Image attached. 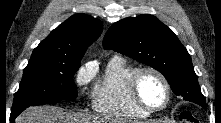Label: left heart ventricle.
Returning <instances> with one entry per match:
<instances>
[{
	"label": "left heart ventricle",
	"instance_id": "obj_1",
	"mask_svg": "<svg viewBox=\"0 0 221 123\" xmlns=\"http://www.w3.org/2000/svg\"><path fill=\"white\" fill-rule=\"evenodd\" d=\"M139 91L143 101L156 108L164 104L166 91L162 82L153 74H144L140 80Z\"/></svg>",
	"mask_w": 221,
	"mask_h": 123
}]
</instances>
